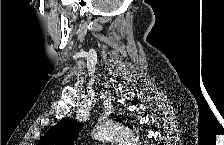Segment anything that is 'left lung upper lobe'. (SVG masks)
Segmentation results:
<instances>
[{"instance_id": "5c2ea615", "label": "left lung upper lobe", "mask_w": 224, "mask_h": 145, "mask_svg": "<svg viewBox=\"0 0 224 145\" xmlns=\"http://www.w3.org/2000/svg\"><path fill=\"white\" fill-rule=\"evenodd\" d=\"M119 121H121L119 119ZM130 127V125L127 123ZM82 124L74 120H63L50 129L39 141L38 145H72Z\"/></svg>"}]
</instances>
